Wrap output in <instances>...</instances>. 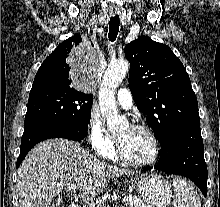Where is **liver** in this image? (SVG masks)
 <instances>
[{
    "mask_svg": "<svg viewBox=\"0 0 220 207\" xmlns=\"http://www.w3.org/2000/svg\"><path fill=\"white\" fill-rule=\"evenodd\" d=\"M19 207H56L65 186L76 184L84 196H96L108 179L131 171L100 161L79 143L50 139L36 145L18 168Z\"/></svg>",
    "mask_w": 220,
    "mask_h": 207,
    "instance_id": "1",
    "label": "liver"
}]
</instances>
